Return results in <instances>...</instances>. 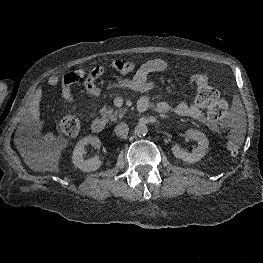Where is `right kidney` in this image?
Here are the masks:
<instances>
[{"mask_svg": "<svg viewBox=\"0 0 263 263\" xmlns=\"http://www.w3.org/2000/svg\"><path fill=\"white\" fill-rule=\"evenodd\" d=\"M88 144H91L95 148H100L101 142L98 137L95 136H87L82 138L78 141L76 144L73 156H72V162L74 166L78 169H80L83 172H92L98 170L102 162L99 160L98 157H92L90 159H84L85 154V146Z\"/></svg>", "mask_w": 263, "mask_h": 263, "instance_id": "obj_1", "label": "right kidney"}]
</instances>
